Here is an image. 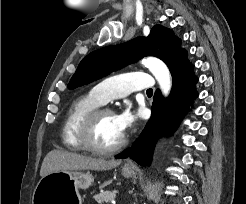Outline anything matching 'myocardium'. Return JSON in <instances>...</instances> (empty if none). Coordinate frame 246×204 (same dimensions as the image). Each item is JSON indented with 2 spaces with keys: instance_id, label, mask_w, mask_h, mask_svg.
I'll use <instances>...</instances> for the list:
<instances>
[{
  "instance_id": "f54148a6",
  "label": "myocardium",
  "mask_w": 246,
  "mask_h": 204,
  "mask_svg": "<svg viewBox=\"0 0 246 204\" xmlns=\"http://www.w3.org/2000/svg\"><path fill=\"white\" fill-rule=\"evenodd\" d=\"M106 114L114 115V112L107 107H98L91 111L82 121L78 137L84 149L96 153V154H111L121 148H123L127 143V136L124 134L122 138L114 145L109 147H101L94 143L92 134L97 121Z\"/></svg>"
}]
</instances>
